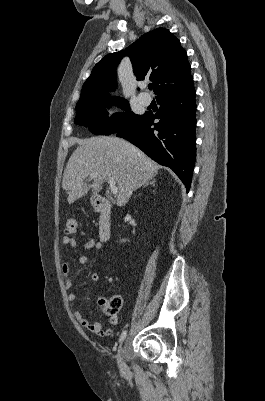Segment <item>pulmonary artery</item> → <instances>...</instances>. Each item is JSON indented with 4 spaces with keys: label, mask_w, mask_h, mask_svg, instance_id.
Returning a JSON list of instances; mask_svg holds the SVG:
<instances>
[{
    "label": "pulmonary artery",
    "mask_w": 265,
    "mask_h": 401,
    "mask_svg": "<svg viewBox=\"0 0 265 401\" xmlns=\"http://www.w3.org/2000/svg\"><path fill=\"white\" fill-rule=\"evenodd\" d=\"M140 87H142V82H140ZM138 100L143 103V104H149L151 102V97L146 95V96H139Z\"/></svg>",
    "instance_id": "obj_1"
}]
</instances>
